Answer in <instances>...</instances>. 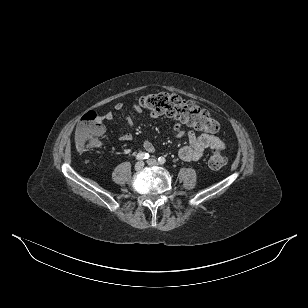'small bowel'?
<instances>
[{
  "label": "small bowel",
  "instance_id": "small-bowel-1",
  "mask_svg": "<svg viewBox=\"0 0 308 308\" xmlns=\"http://www.w3.org/2000/svg\"><path fill=\"white\" fill-rule=\"evenodd\" d=\"M114 108L116 111L120 112L125 108V105L120 102L117 103ZM140 114H141V108L137 105H134L133 114L126 116V122L131 129H133L135 126V118ZM150 117L155 118L157 117V115L151 113ZM100 119L102 123L104 120L112 121L114 119V115L112 112H108L104 114L102 117H100ZM174 132L175 135L179 138L185 134V130L179 123L174 126ZM187 136L189 140V145L180 148L178 152L179 157L185 161H197L201 159L206 149L225 148V144L219 137L207 133H200L194 128H191L187 131ZM119 140L122 142H129L132 140V134L124 133L119 137ZM143 147L147 152H153L155 149L154 145L148 140L144 141Z\"/></svg>",
  "mask_w": 308,
  "mask_h": 308
}]
</instances>
